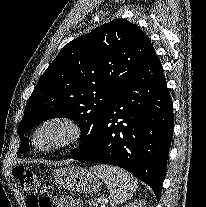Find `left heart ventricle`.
<instances>
[{
	"mask_svg": "<svg viewBox=\"0 0 206 207\" xmlns=\"http://www.w3.org/2000/svg\"><path fill=\"white\" fill-rule=\"evenodd\" d=\"M65 135V128L59 125H50L39 132L36 142L40 146H51L60 142Z\"/></svg>",
	"mask_w": 206,
	"mask_h": 207,
	"instance_id": "b2bd125f",
	"label": "left heart ventricle"
}]
</instances>
